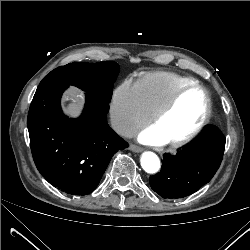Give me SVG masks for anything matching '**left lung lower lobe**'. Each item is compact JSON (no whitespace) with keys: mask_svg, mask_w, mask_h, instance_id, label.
<instances>
[{"mask_svg":"<svg viewBox=\"0 0 250 250\" xmlns=\"http://www.w3.org/2000/svg\"><path fill=\"white\" fill-rule=\"evenodd\" d=\"M225 138L208 126L189 146L176 155L164 154L161 171L149 178L151 188L163 198H183L208 183L218 170Z\"/></svg>","mask_w":250,"mask_h":250,"instance_id":"obj_1","label":"left lung lower lobe"}]
</instances>
